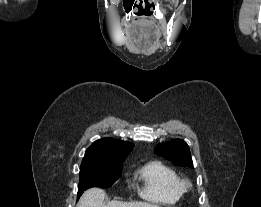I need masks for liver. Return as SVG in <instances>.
Here are the masks:
<instances>
[{
  "label": "liver",
  "instance_id": "obj_1",
  "mask_svg": "<svg viewBox=\"0 0 261 207\" xmlns=\"http://www.w3.org/2000/svg\"><path fill=\"white\" fill-rule=\"evenodd\" d=\"M105 191L100 188H91L81 196L77 207H160L147 202H120L111 201L104 203Z\"/></svg>",
  "mask_w": 261,
  "mask_h": 207
}]
</instances>
